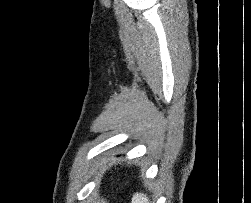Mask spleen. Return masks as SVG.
I'll return each instance as SVG.
<instances>
[{
    "label": "spleen",
    "mask_w": 251,
    "mask_h": 203,
    "mask_svg": "<svg viewBox=\"0 0 251 203\" xmlns=\"http://www.w3.org/2000/svg\"><path fill=\"white\" fill-rule=\"evenodd\" d=\"M132 203H149V200L146 195L142 193H136L132 197Z\"/></svg>",
    "instance_id": "spleen-1"
}]
</instances>
